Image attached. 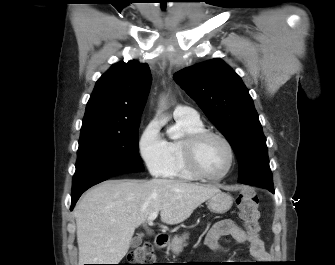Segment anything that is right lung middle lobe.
<instances>
[{
	"label": "right lung middle lobe",
	"mask_w": 335,
	"mask_h": 265,
	"mask_svg": "<svg viewBox=\"0 0 335 265\" xmlns=\"http://www.w3.org/2000/svg\"><path fill=\"white\" fill-rule=\"evenodd\" d=\"M139 124L81 133L72 190L99 178L143 171L138 152Z\"/></svg>",
	"instance_id": "right-lung-middle-lobe-1"
}]
</instances>
